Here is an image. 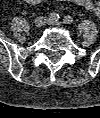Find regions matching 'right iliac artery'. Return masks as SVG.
I'll return each mask as SVG.
<instances>
[{
	"label": "right iliac artery",
	"instance_id": "1",
	"mask_svg": "<svg viewBox=\"0 0 100 118\" xmlns=\"http://www.w3.org/2000/svg\"><path fill=\"white\" fill-rule=\"evenodd\" d=\"M49 18L51 19V20H54V21H58L59 20V18H60V16H59V14H57V13H51L50 15H49Z\"/></svg>",
	"mask_w": 100,
	"mask_h": 118
}]
</instances>
